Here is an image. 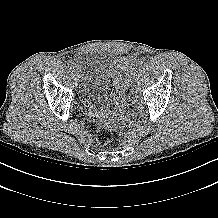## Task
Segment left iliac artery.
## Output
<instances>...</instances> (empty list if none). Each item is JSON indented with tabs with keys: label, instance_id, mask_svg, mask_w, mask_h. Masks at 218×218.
Here are the masks:
<instances>
[{
	"label": "left iliac artery",
	"instance_id": "44dca946",
	"mask_svg": "<svg viewBox=\"0 0 218 218\" xmlns=\"http://www.w3.org/2000/svg\"><path fill=\"white\" fill-rule=\"evenodd\" d=\"M142 67H143V64L139 63L138 65L135 66V68L131 70V73L133 74L134 72H138Z\"/></svg>",
	"mask_w": 218,
	"mask_h": 218
}]
</instances>
